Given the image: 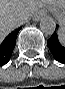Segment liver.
Masks as SVG:
<instances>
[{"mask_svg": "<svg viewBox=\"0 0 65 89\" xmlns=\"http://www.w3.org/2000/svg\"><path fill=\"white\" fill-rule=\"evenodd\" d=\"M63 0H0V38H5L21 18H31L48 6H63Z\"/></svg>", "mask_w": 65, "mask_h": 89, "instance_id": "liver-1", "label": "liver"}]
</instances>
